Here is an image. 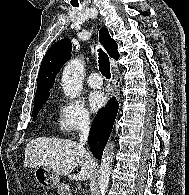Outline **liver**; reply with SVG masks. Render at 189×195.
<instances>
[{
    "label": "liver",
    "instance_id": "liver-1",
    "mask_svg": "<svg viewBox=\"0 0 189 195\" xmlns=\"http://www.w3.org/2000/svg\"><path fill=\"white\" fill-rule=\"evenodd\" d=\"M25 167H49L58 175L68 176L71 180L89 179L95 168V159L83 145L67 139L40 137L31 140L25 147ZM80 166L77 174H72Z\"/></svg>",
    "mask_w": 189,
    "mask_h": 195
}]
</instances>
